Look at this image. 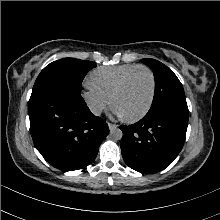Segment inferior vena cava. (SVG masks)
Masks as SVG:
<instances>
[{"label": "inferior vena cava", "instance_id": "inferior-vena-cava-1", "mask_svg": "<svg viewBox=\"0 0 220 220\" xmlns=\"http://www.w3.org/2000/svg\"><path fill=\"white\" fill-rule=\"evenodd\" d=\"M91 112L96 115L99 116L102 113V108L99 106H95L91 108Z\"/></svg>", "mask_w": 220, "mask_h": 220}]
</instances>
